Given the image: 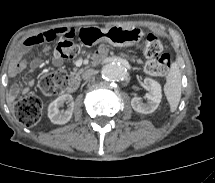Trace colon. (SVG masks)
<instances>
[{"instance_id":"5ec220e1","label":"colon","mask_w":215,"mask_h":183,"mask_svg":"<svg viewBox=\"0 0 215 183\" xmlns=\"http://www.w3.org/2000/svg\"><path fill=\"white\" fill-rule=\"evenodd\" d=\"M55 46V55L60 58H74L80 52L79 45L73 40L74 33L68 31L58 35ZM40 42L34 44V50L38 49ZM143 52L149 61L146 63V72L151 75L165 74L171 65V55L163 52L160 39L155 34H148L142 45ZM68 79L64 72H52L45 74L39 81L40 90L49 96L57 95L65 91ZM42 101L35 95H26L18 99L14 104V116L16 120L27 127L36 125L42 115Z\"/></svg>"}]
</instances>
